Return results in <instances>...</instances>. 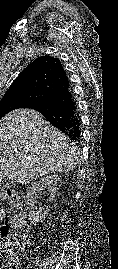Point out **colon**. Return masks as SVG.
Returning a JSON list of instances; mask_svg holds the SVG:
<instances>
[{
  "label": "colon",
  "instance_id": "5ec220e1",
  "mask_svg": "<svg viewBox=\"0 0 118 269\" xmlns=\"http://www.w3.org/2000/svg\"><path fill=\"white\" fill-rule=\"evenodd\" d=\"M0 195L10 202V216L2 227L3 235L0 238V269H18V253L15 249L25 243L28 231L25 210L16 193L1 182Z\"/></svg>",
  "mask_w": 118,
  "mask_h": 269
}]
</instances>
